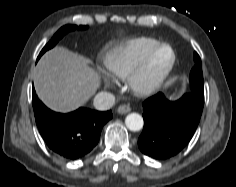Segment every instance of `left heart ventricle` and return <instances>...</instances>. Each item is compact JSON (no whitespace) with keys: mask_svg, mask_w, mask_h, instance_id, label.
Segmentation results:
<instances>
[{"mask_svg":"<svg viewBox=\"0 0 236 187\" xmlns=\"http://www.w3.org/2000/svg\"><path fill=\"white\" fill-rule=\"evenodd\" d=\"M170 59V51L167 48L160 50L154 57L151 67L150 74L158 72Z\"/></svg>","mask_w":236,"mask_h":187,"instance_id":"obj_1","label":"left heart ventricle"}]
</instances>
